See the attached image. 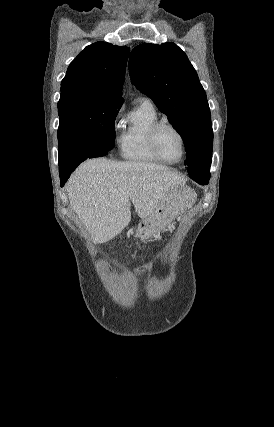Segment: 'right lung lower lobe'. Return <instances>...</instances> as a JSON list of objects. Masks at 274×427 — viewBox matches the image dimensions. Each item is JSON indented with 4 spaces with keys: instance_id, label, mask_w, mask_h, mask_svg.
<instances>
[{
    "instance_id": "right-lung-lower-lobe-1",
    "label": "right lung lower lobe",
    "mask_w": 274,
    "mask_h": 427,
    "mask_svg": "<svg viewBox=\"0 0 274 427\" xmlns=\"http://www.w3.org/2000/svg\"><path fill=\"white\" fill-rule=\"evenodd\" d=\"M108 152L109 151L95 153V154L91 155L89 158L102 157L104 155H107ZM84 160H86V159H84ZM84 160H81V161L74 163V164L59 167L61 187L65 184V182L69 178L70 174L75 170V168Z\"/></svg>"
}]
</instances>
